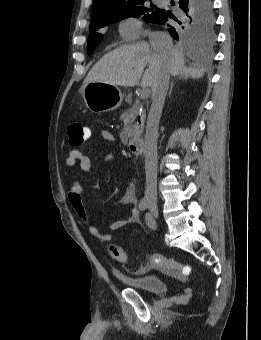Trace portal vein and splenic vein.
Listing matches in <instances>:
<instances>
[{
    "instance_id": "portal-vein-and-splenic-vein-1",
    "label": "portal vein and splenic vein",
    "mask_w": 261,
    "mask_h": 340,
    "mask_svg": "<svg viewBox=\"0 0 261 340\" xmlns=\"http://www.w3.org/2000/svg\"><path fill=\"white\" fill-rule=\"evenodd\" d=\"M149 92H150L149 89L144 90V91L141 93V95H140V99H143V100H144V99L148 98Z\"/></svg>"
}]
</instances>
